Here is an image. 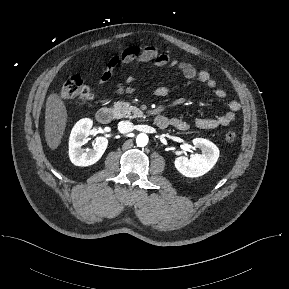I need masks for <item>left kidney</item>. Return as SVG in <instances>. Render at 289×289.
I'll list each match as a JSON object with an SVG mask.
<instances>
[{"instance_id":"obj_1","label":"left kidney","mask_w":289,"mask_h":289,"mask_svg":"<svg viewBox=\"0 0 289 289\" xmlns=\"http://www.w3.org/2000/svg\"><path fill=\"white\" fill-rule=\"evenodd\" d=\"M193 145L202 154L191 155L190 158L180 156L175 159L176 169L184 176L194 178L206 174L213 168L219 158V149L211 141L203 138L193 139Z\"/></svg>"}]
</instances>
